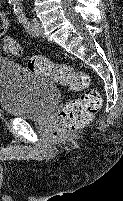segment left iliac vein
I'll return each instance as SVG.
<instances>
[{
	"label": "left iliac vein",
	"instance_id": "1",
	"mask_svg": "<svg viewBox=\"0 0 123 201\" xmlns=\"http://www.w3.org/2000/svg\"><path fill=\"white\" fill-rule=\"evenodd\" d=\"M33 27H34V30H35L34 36L42 35V32H43L42 26H41L40 22L36 18L33 19Z\"/></svg>",
	"mask_w": 123,
	"mask_h": 201
}]
</instances>
